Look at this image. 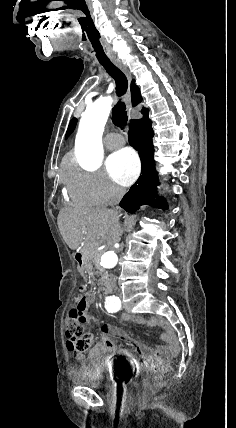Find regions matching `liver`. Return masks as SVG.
Returning a JSON list of instances; mask_svg holds the SVG:
<instances>
[{
    "label": "liver",
    "mask_w": 236,
    "mask_h": 428,
    "mask_svg": "<svg viewBox=\"0 0 236 428\" xmlns=\"http://www.w3.org/2000/svg\"><path fill=\"white\" fill-rule=\"evenodd\" d=\"M119 218L107 208H82V210H61L58 216V228L70 250H77L80 244L106 242L114 246L121 240L122 232Z\"/></svg>",
    "instance_id": "6515ba94"
}]
</instances>
